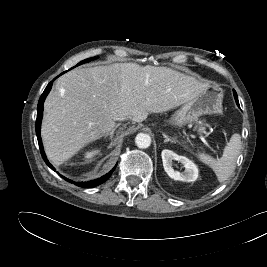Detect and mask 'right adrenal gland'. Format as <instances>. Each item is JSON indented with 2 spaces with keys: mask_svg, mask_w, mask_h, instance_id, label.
<instances>
[{
  "mask_svg": "<svg viewBox=\"0 0 267 267\" xmlns=\"http://www.w3.org/2000/svg\"><path fill=\"white\" fill-rule=\"evenodd\" d=\"M120 125H121V124L118 123V124L112 129V131H111L110 133H106V134L104 135L105 138L109 136V139H111V138L113 137V134H114L115 130H116Z\"/></svg>",
  "mask_w": 267,
  "mask_h": 267,
  "instance_id": "1",
  "label": "right adrenal gland"
}]
</instances>
